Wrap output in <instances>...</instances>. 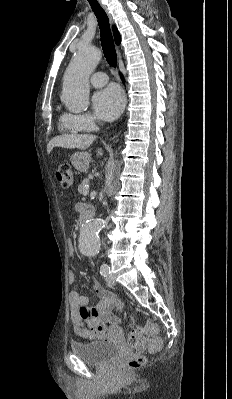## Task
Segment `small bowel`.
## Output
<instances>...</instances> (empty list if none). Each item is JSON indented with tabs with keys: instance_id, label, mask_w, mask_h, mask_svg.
<instances>
[{
	"instance_id": "1",
	"label": "small bowel",
	"mask_w": 232,
	"mask_h": 399,
	"mask_svg": "<svg viewBox=\"0 0 232 399\" xmlns=\"http://www.w3.org/2000/svg\"><path fill=\"white\" fill-rule=\"evenodd\" d=\"M69 256H76L75 244L72 240L67 242ZM76 276L70 274L69 284L75 285ZM91 289L101 300L94 306L90 305L88 297L82 296L76 291L69 293V317L72 320V330L79 334H87L95 337L97 340L107 339L112 334L121 330L120 323L116 320L117 310L124 311V308L117 306L115 296L112 292L103 289L99 283L94 280ZM111 321L110 325H106Z\"/></svg>"
}]
</instances>
